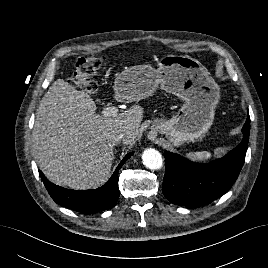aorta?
Instances as JSON below:
<instances>
[{
    "instance_id": "762f6f07",
    "label": "aorta",
    "mask_w": 268,
    "mask_h": 268,
    "mask_svg": "<svg viewBox=\"0 0 268 268\" xmlns=\"http://www.w3.org/2000/svg\"><path fill=\"white\" fill-rule=\"evenodd\" d=\"M143 164L151 170H158L163 166L162 155L153 148L144 150L142 154Z\"/></svg>"
}]
</instances>
